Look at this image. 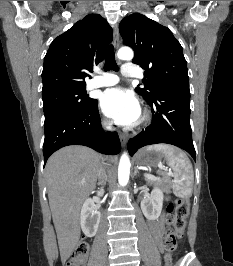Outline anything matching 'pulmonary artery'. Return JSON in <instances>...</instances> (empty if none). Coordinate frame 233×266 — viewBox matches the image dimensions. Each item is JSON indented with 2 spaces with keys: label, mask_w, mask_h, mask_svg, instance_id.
I'll return each instance as SVG.
<instances>
[{
  "label": "pulmonary artery",
  "mask_w": 233,
  "mask_h": 266,
  "mask_svg": "<svg viewBox=\"0 0 233 266\" xmlns=\"http://www.w3.org/2000/svg\"><path fill=\"white\" fill-rule=\"evenodd\" d=\"M122 75L126 77H138L139 72L133 64H125L122 67ZM119 82V77L113 73H101L100 75L95 76L92 80L87 84V88L89 90L107 87L115 85Z\"/></svg>",
  "instance_id": "obj_1"
}]
</instances>
